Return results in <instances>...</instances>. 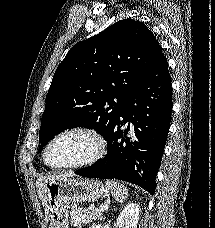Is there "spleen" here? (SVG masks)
Returning <instances> with one entry per match:
<instances>
[{
  "label": "spleen",
  "mask_w": 215,
  "mask_h": 228,
  "mask_svg": "<svg viewBox=\"0 0 215 228\" xmlns=\"http://www.w3.org/2000/svg\"><path fill=\"white\" fill-rule=\"evenodd\" d=\"M105 184L106 188L110 190L113 198H115V200H118V202H121V204H123V202H125L127 198V188H125L123 184H119V182H110V180H107Z\"/></svg>",
  "instance_id": "3e777b00"
}]
</instances>
